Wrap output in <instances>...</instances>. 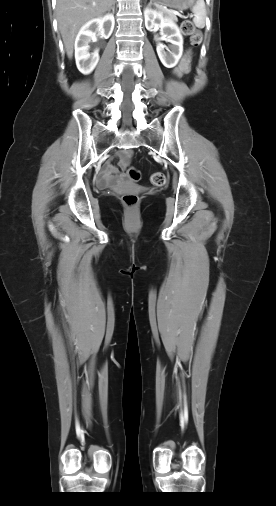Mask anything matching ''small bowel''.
Listing matches in <instances>:
<instances>
[{
	"label": "small bowel",
	"mask_w": 276,
	"mask_h": 506,
	"mask_svg": "<svg viewBox=\"0 0 276 506\" xmlns=\"http://www.w3.org/2000/svg\"><path fill=\"white\" fill-rule=\"evenodd\" d=\"M190 67V54L187 53L179 63V65L174 69V73L178 76H182L187 73ZM133 154L132 150H122L118 153L119 158V166L121 169H126L129 160ZM118 174V169L112 164L107 163L105 170L100 173L98 178L96 179V185L100 189H105L108 187L117 186L124 178V175H119L117 178H114L113 175Z\"/></svg>",
	"instance_id": "obj_1"
}]
</instances>
